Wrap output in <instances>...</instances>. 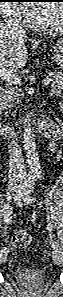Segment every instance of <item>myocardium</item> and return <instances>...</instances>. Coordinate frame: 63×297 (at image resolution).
<instances>
[{"instance_id":"f54148a6","label":"myocardium","mask_w":63,"mask_h":297,"mask_svg":"<svg viewBox=\"0 0 63 297\" xmlns=\"http://www.w3.org/2000/svg\"><path fill=\"white\" fill-rule=\"evenodd\" d=\"M59 7H60V12H61V20H60V23L58 26H47L46 24H43L41 22H35L34 19L32 18L35 28L37 30H39L40 32L47 33V34L62 33V31H63V8L61 5Z\"/></svg>"}]
</instances>
